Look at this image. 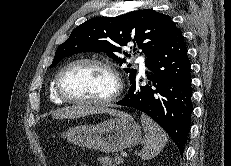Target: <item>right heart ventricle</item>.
<instances>
[{"instance_id": "right-heart-ventricle-1", "label": "right heart ventricle", "mask_w": 231, "mask_h": 166, "mask_svg": "<svg viewBox=\"0 0 231 166\" xmlns=\"http://www.w3.org/2000/svg\"><path fill=\"white\" fill-rule=\"evenodd\" d=\"M50 99L52 100V102L56 103V104H61L63 101L59 98V96L57 95L56 91H55V87H54V81H52L51 85H50Z\"/></svg>"}]
</instances>
